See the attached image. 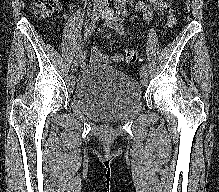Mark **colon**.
<instances>
[{
  "mask_svg": "<svg viewBox=\"0 0 219 192\" xmlns=\"http://www.w3.org/2000/svg\"><path fill=\"white\" fill-rule=\"evenodd\" d=\"M33 9L35 14L40 18L50 17L54 12V7L47 0H35L33 2ZM174 23H175V15L173 11H170L166 16L164 25L165 27L170 28L174 25ZM138 59H139V51L136 49L127 50L125 53L121 55L120 58V60H122L127 64H134L138 61ZM100 61L111 62L112 58L109 55L103 53L102 56L100 57Z\"/></svg>",
  "mask_w": 219,
  "mask_h": 192,
  "instance_id": "obj_1",
  "label": "colon"
}]
</instances>
